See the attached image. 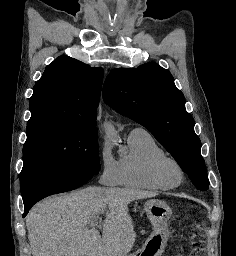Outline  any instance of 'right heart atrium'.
<instances>
[{
  "label": "right heart atrium",
  "instance_id": "right-heart-atrium-1",
  "mask_svg": "<svg viewBox=\"0 0 236 256\" xmlns=\"http://www.w3.org/2000/svg\"><path fill=\"white\" fill-rule=\"evenodd\" d=\"M100 182L105 186L122 185V171L120 160L112 154L109 146L103 144L100 150Z\"/></svg>",
  "mask_w": 236,
  "mask_h": 256
}]
</instances>
